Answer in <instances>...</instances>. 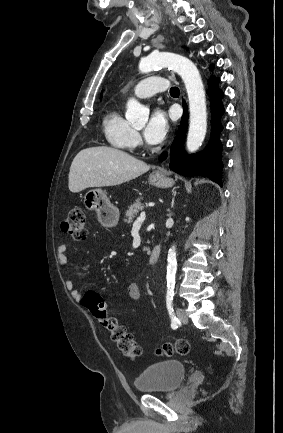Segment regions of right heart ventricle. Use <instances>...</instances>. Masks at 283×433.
Wrapping results in <instances>:
<instances>
[{
  "label": "right heart ventricle",
  "mask_w": 283,
  "mask_h": 433,
  "mask_svg": "<svg viewBox=\"0 0 283 433\" xmlns=\"http://www.w3.org/2000/svg\"><path fill=\"white\" fill-rule=\"evenodd\" d=\"M102 128L107 140L114 147L128 145L135 133L131 123L123 117L121 110L118 108L104 115Z\"/></svg>",
  "instance_id": "right-heart-ventricle-1"
}]
</instances>
